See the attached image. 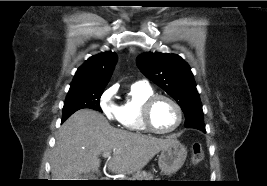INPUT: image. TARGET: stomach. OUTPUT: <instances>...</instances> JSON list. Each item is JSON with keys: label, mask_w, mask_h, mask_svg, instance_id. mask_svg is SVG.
Listing matches in <instances>:
<instances>
[{"label": "stomach", "mask_w": 267, "mask_h": 186, "mask_svg": "<svg viewBox=\"0 0 267 186\" xmlns=\"http://www.w3.org/2000/svg\"><path fill=\"white\" fill-rule=\"evenodd\" d=\"M186 157V147L175 140L168 147L161 150L158 158L159 168L165 175H172L183 166Z\"/></svg>", "instance_id": "0dacf381"}]
</instances>
